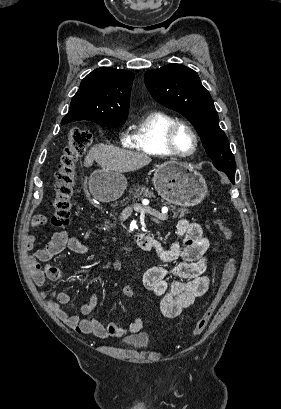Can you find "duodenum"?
Wrapping results in <instances>:
<instances>
[{
  "label": "duodenum",
  "instance_id": "410a0bca",
  "mask_svg": "<svg viewBox=\"0 0 281 409\" xmlns=\"http://www.w3.org/2000/svg\"><path fill=\"white\" fill-rule=\"evenodd\" d=\"M135 242L137 245L145 250V251H150L152 249L151 245V237L145 234H136L135 235Z\"/></svg>",
  "mask_w": 281,
  "mask_h": 409
}]
</instances>
